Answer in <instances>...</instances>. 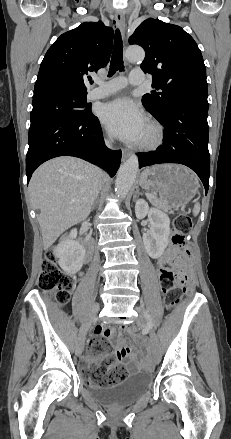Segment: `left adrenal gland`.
<instances>
[{
	"label": "left adrenal gland",
	"instance_id": "obj_1",
	"mask_svg": "<svg viewBox=\"0 0 231 439\" xmlns=\"http://www.w3.org/2000/svg\"><path fill=\"white\" fill-rule=\"evenodd\" d=\"M137 194H142V193H140L139 189L136 190V194L134 197H136Z\"/></svg>",
	"mask_w": 231,
	"mask_h": 439
}]
</instances>
